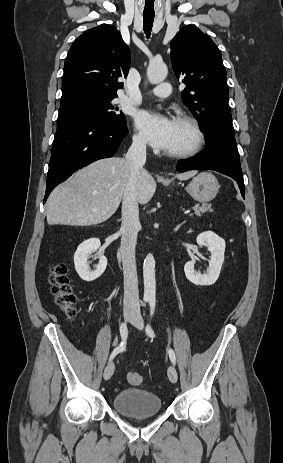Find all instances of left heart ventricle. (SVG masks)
Returning a JSON list of instances; mask_svg holds the SVG:
<instances>
[{
  "label": "left heart ventricle",
  "instance_id": "obj_1",
  "mask_svg": "<svg viewBox=\"0 0 283 463\" xmlns=\"http://www.w3.org/2000/svg\"><path fill=\"white\" fill-rule=\"evenodd\" d=\"M193 133L181 122H174V131L170 147L166 151H179L188 148L193 143Z\"/></svg>",
  "mask_w": 283,
  "mask_h": 463
}]
</instances>
